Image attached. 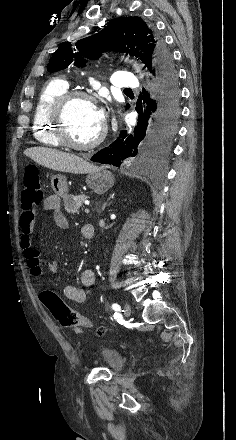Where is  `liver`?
<instances>
[{"label": "liver", "instance_id": "1", "mask_svg": "<svg viewBox=\"0 0 236 440\" xmlns=\"http://www.w3.org/2000/svg\"><path fill=\"white\" fill-rule=\"evenodd\" d=\"M24 154L39 165L60 172L86 174L97 168L81 157L46 147H32Z\"/></svg>", "mask_w": 236, "mask_h": 440}]
</instances>
